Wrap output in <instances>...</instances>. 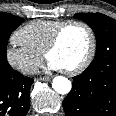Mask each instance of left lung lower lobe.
Returning <instances> with one entry per match:
<instances>
[{"label": "left lung lower lobe", "mask_w": 116, "mask_h": 116, "mask_svg": "<svg viewBox=\"0 0 116 116\" xmlns=\"http://www.w3.org/2000/svg\"><path fill=\"white\" fill-rule=\"evenodd\" d=\"M63 108L66 116H116V67L100 66L73 77Z\"/></svg>", "instance_id": "obj_1"}]
</instances>
